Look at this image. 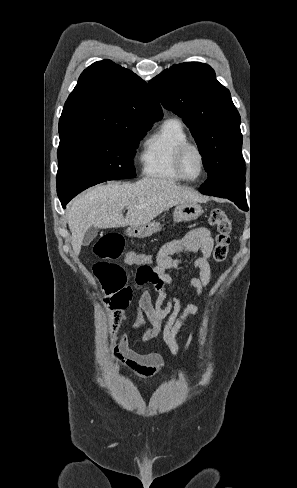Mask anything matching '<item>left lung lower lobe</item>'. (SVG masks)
<instances>
[{"label": "left lung lower lobe", "instance_id": "left-lung-lower-lobe-1", "mask_svg": "<svg viewBox=\"0 0 297 488\" xmlns=\"http://www.w3.org/2000/svg\"><path fill=\"white\" fill-rule=\"evenodd\" d=\"M235 204L238 205L243 210H247L248 209L247 208V204H245V203H241L239 201H236Z\"/></svg>", "mask_w": 297, "mask_h": 488}]
</instances>
